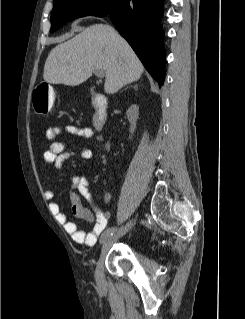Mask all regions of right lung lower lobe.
<instances>
[{"label": "right lung lower lobe", "instance_id": "obj_1", "mask_svg": "<svg viewBox=\"0 0 245 319\" xmlns=\"http://www.w3.org/2000/svg\"><path fill=\"white\" fill-rule=\"evenodd\" d=\"M164 0H121L108 15L147 71L161 85L165 74L164 32L160 25Z\"/></svg>", "mask_w": 245, "mask_h": 319}]
</instances>
